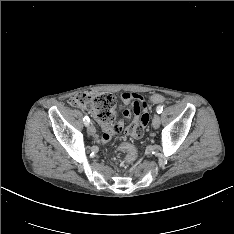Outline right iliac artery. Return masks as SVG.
Here are the masks:
<instances>
[{"label":"right iliac artery","instance_id":"82829eb1","mask_svg":"<svg viewBox=\"0 0 234 234\" xmlns=\"http://www.w3.org/2000/svg\"><path fill=\"white\" fill-rule=\"evenodd\" d=\"M83 121H84V124H85L86 126H88V125H89V122H90V119H89L88 116H85L84 119H83Z\"/></svg>","mask_w":234,"mask_h":234}]
</instances>
